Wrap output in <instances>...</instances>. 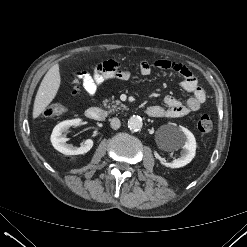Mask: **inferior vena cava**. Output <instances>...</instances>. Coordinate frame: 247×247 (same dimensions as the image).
<instances>
[{
	"label": "inferior vena cava",
	"instance_id": "inferior-vena-cava-1",
	"mask_svg": "<svg viewBox=\"0 0 247 247\" xmlns=\"http://www.w3.org/2000/svg\"><path fill=\"white\" fill-rule=\"evenodd\" d=\"M110 125H111L112 129L116 130L121 126V122L118 118L114 117V118L110 119Z\"/></svg>",
	"mask_w": 247,
	"mask_h": 247
}]
</instances>
